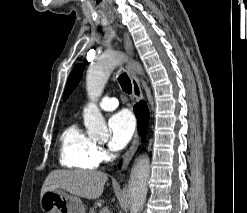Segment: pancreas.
<instances>
[{
	"instance_id": "1",
	"label": "pancreas",
	"mask_w": 247,
	"mask_h": 213,
	"mask_svg": "<svg viewBox=\"0 0 247 213\" xmlns=\"http://www.w3.org/2000/svg\"><path fill=\"white\" fill-rule=\"evenodd\" d=\"M89 213H97L96 210L94 208H91Z\"/></svg>"
}]
</instances>
